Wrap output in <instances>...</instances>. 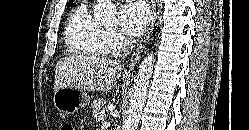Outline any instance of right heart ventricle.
Listing matches in <instances>:
<instances>
[{
    "label": "right heart ventricle",
    "mask_w": 249,
    "mask_h": 130,
    "mask_svg": "<svg viewBox=\"0 0 249 130\" xmlns=\"http://www.w3.org/2000/svg\"><path fill=\"white\" fill-rule=\"evenodd\" d=\"M64 39L70 53L104 56L109 52L107 30L91 15L88 2H80L67 19Z\"/></svg>",
    "instance_id": "e07e8e85"
}]
</instances>
